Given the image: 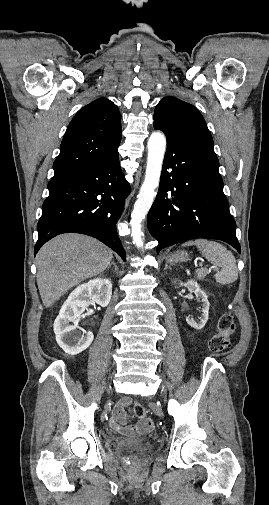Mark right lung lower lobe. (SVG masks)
<instances>
[{"label":"right lung lower lobe","instance_id":"obj_1","mask_svg":"<svg viewBox=\"0 0 269 505\" xmlns=\"http://www.w3.org/2000/svg\"><path fill=\"white\" fill-rule=\"evenodd\" d=\"M48 189L49 196L44 201L37 225L39 237L34 255L56 235L74 232L97 238L125 260V250L115 224L130 188L121 172L118 152L76 171L53 177Z\"/></svg>","mask_w":269,"mask_h":505}]
</instances>
